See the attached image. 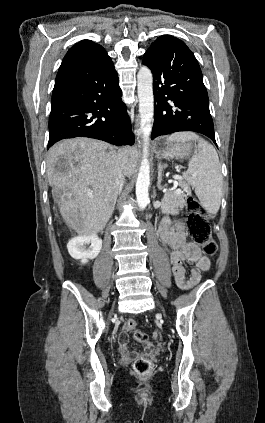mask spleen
<instances>
[{
  "label": "spleen",
  "instance_id": "1",
  "mask_svg": "<svg viewBox=\"0 0 265 423\" xmlns=\"http://www.w3.org/2000/svg\"><path fill=\"white\" fill-rule=\"evenodd\" d=\"M169 141L172 143L198 142V151L191 156L188 170L183 173V177L194 188L202 207L209 214H216L221 204L223 177L215 148L190 131L173 133Z\"/></svg>",
  "mask_w": 265,
  "mask_h": 423
}]
</instances>
